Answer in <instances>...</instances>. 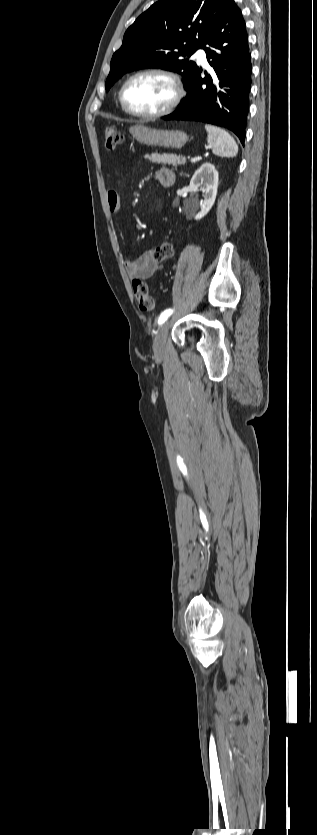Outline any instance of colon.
<instances>
[{
	"instance_id": "obj_1",
	"label": "colon",
	"mask_w": 317,
	"mask_h": 835,
	"mask_svg": "<svg viewBox=\"0 0 317 835\" xmlns=\"http://www.w3.org/2000/svg\"><path fill=\"white\" fill-rule=\"evenodd\" d=\"M105 146L109 150L115 149L122 141V135L115 128L108 127L104 131ZM176 248L172 243H164L150 250L153 257L158 261L168 260L174 257ZM132 288L138 305L143 311H150L154 308V300L148 293V286L143 280L133 279Z\"/></svg>"
}]
</instances>
